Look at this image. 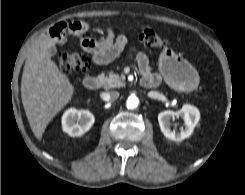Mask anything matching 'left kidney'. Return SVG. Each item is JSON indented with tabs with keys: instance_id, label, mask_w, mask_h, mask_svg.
Segmentation results:
<instances>
[{
	"instance_id": "5707ae66",
	"label": "left kidney",
	"mask_w": 245,
	"mask_h": 195,
	"mask_svg": "<svg viewBox=\"0 0 245 195\" xmlns=\"http://www.w3.org/2000/svg\"><path fill=\"white\" fill-rule=\"evenodd\" d=\"M175 116L181 117L184 121V128L180 132L170 129V120ZM200 119L199 110L191 105H184L181 110L174 112L166 110L158 115L160 129L164 136L172 141L180 142L191 136L193 130Z\"/></svg>"
}]
</instances>
